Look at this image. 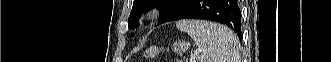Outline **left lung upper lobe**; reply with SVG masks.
<instances>
[{"label":"left lung upper lobe","mask_w":331,"mask_h":62,"mask_svg":"<svg viewBox=\"0 0 331 62\" xmlns=\"http://www.w3.org/2000/svg\"><path fill=\"white\" fill-rule=\"evenodd\" d=\"M184 1L185 0H134L128 18L129 27L136 28L141 14L155 7L160 10V19L157 25L166 23Z\"/></svg>","instance_id":"obj_1"}]
</instances>
